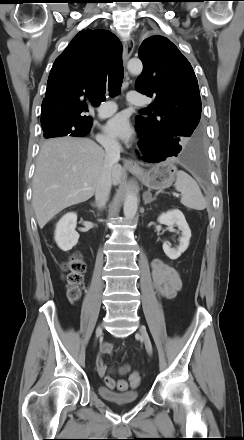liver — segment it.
<instances>
[{
  "instance_id": "liver-1",
  "label": "liver",
  "mask_w": 244,
  "mask_h": 440,
  "mask_svg": "<svg viewBox=\"0 0 244 440\" xmlns=\"http://www.w3.org/2000/svg\"><path fill=\"white\" fill-rule=\"evenodd\" d=\"M105 165V152L88 138L62 137L41 146L32 182V205L42 229L63 209L90 199ZM123 174L118 163L111 179L118 185Z\"/></svg>"
}]
</instances>
